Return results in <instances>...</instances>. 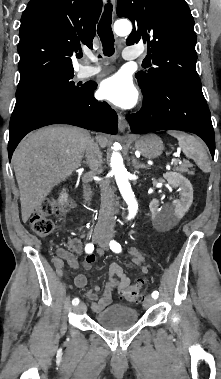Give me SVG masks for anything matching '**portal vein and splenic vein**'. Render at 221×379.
Returning <instances> with one entry per match:
<instances>
[{
    "label": "portal vein and splenic vein",
    "mask_w": 221,
    "mask_h": 379,
    "mask_svg": "<svg viewBox=\"0 0 221 379\" xmlns=\"http://www.w3.org/2000/svg\"><path fill=\"white\" fill-rule=\"evenodd\" d=\"M179 161L180 159L176 155H174V158L172 159V163L176 165Z\"/></svg>",
    "instance_id": "portal-vein-and-splenic-vein-1"
}]
</instances>
